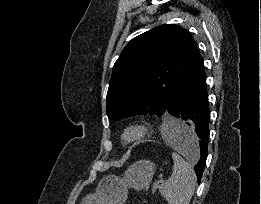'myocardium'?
<instances>
[{"mask_svg":"<svg viewBox=\"0 0 261 204\" xmlns=\"http://www.w3.org/2000/svg\"><path fill=\"white\" fill-rule=\"evenodd\" d=\"M150 131V126L144 121L127 124L121 133V139L126 144H136L142 141Z\"/></svg>","mask_w":261,"mask_h":204,"instance_id":"obj_1","label":"myocardium"}]
</instances>
